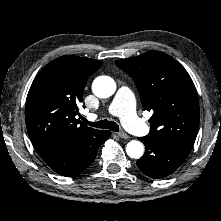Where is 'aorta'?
<instances>
[{"label":"aorta","mask_w":221,"mask_h":221,"mask_svg":"<svg viewBox=\"0 0 221 221\" xmlns=\"http://www.w3.org/2000/svg\"><path fill=\"white\" fill-rule=\"evenodd\" d=\"M115 90L116 83L111 77L99 76L93 81L92 91L99 98H108ZM126 153L131 158L139 159L144 154V146L140 141L132 140L126 146Z\"/></svg>","instance_id":"762f6f07"}]
</instances>
